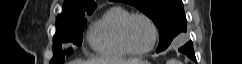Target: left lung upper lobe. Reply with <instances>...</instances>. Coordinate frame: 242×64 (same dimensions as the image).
<instances>
[{
	"label": "left lung upper lobe",
	"mask_w": 242,
	"mask_h": 64,
	"mask_svg": "<svg viewBox=\"0 0 242 64\" xmlns=\"http://www.w3.org/2000/svg\"><path fill=\"white\" fill-rule=\"evenodd\" d=\"M131 4L150 17L158 27L160 42L156 51L165 50L180 32L187 31L182 0H112Z\"/></svg>",
	"instance_id": "left-lung-upper-lobe-1"
}]
</instances>
